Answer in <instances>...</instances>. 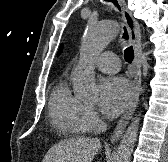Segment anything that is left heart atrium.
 Wrapping results in <instances>:
<instances>
[{"label": "left heart atrium", "instance_id": "obj_1", "mask_svg": "<svg viewBox=\"0 0 168 162\" xmlns=\"http://www.w3.org/2000/svg\"><path fill=\"white\" fill-rule=\"evenodd\" d=\"M132 89L126 79L119 76L102 81L100 87V108L109 117L119 115L129 104Z\"/></svg>", "mask_w": 168, "mask_h": 162}]
</instances>
